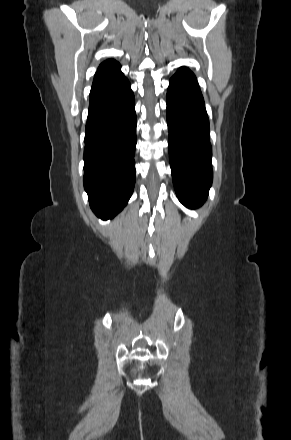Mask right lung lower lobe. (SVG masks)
Listing matches in <instances>:
<instances>
[{"label":"right lung lower lobe","mask_w":291,"mask_h":440,"mask_svg":"<svg viewBox=\"0 0 291 440\" xmlns=\"http://www.w3.org/2000/svg\"><path fill=\"white\" fill-rule=\"evenodd\" d=\"M120 67L96 72L86 123L84 188L105 220L125 207L135 185V98Z\"/></svg>","instance_id":"obj_1"}]
</instances>
